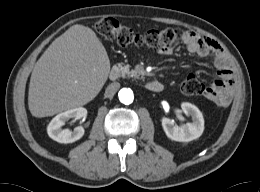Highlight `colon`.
Masks as SVG:
<instances>
[{"label":"colon","instance_id":"obj_1","mask_svg":"<svg viewBox=\"0 0 260 192\" xmlns=\"http://www.w3.org/2000/svg\"><path fill=\"white\" fill-rule=\"evenodd\" d=\"M95 28L101 36L109 40H115L122 46H146L157 51L172 47L183 39L185 33L179 28H166L153 29L144 34H139L110 17L98 20ZM181 90L186 95H198L204 92L205 86L194 75H189L183 81Z\"/></svg>","mask_w":260,"mask_h":192}]
</instances>
